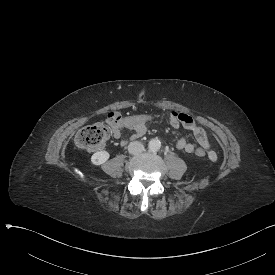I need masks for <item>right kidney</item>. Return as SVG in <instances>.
I'll return each instance as SVG.
<instances>
[{"mask_svg":"<svg viewBox=\"0 0 275 275\" xmlns=\"http://www.w3.org/2000/svg\"><path fill=\"white\" fill-rule=\"evenodd\" d=\"M110 158L108 151H98L92 154L90 161L93 166H101L106 163Z\"/></svg>","mask_w":275,"mask_h":275,"instance_id":"ca27d5eb","label":"right kidney"}]
</instances>
